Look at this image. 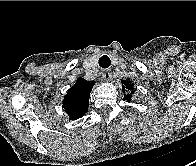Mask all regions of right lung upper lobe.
<instances>
[{"label":"right lung upper lobe","mask_w":196,"mask_h":166,"mask_svg":"<svg viewBox=\"0 0 196 166\" xmlns=\"http://www.w3.org/2000/svg\"><path fill=\"white\" fill-rule=\"evenodd\" d=\"M94 81H87L84 78H78L64 96L63 108L70 116V119H78L83 116L89 106L90 92L94 86Z\"/></svg>","instance_id":"1"}]
</instances>
